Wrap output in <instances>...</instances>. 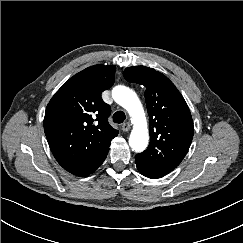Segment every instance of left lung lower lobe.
<instances>
[{
	"instance_id": "1",
	"label": "left lung lower lobe",
	"mask_w": 243,
	"mask_h": 243,
	"mask_svg": "<svg viewBox=\"0 0 243 243\" xmlns=\"http://www.w3.org/2000/svg\"><path fill=\"white\" fill-rule=\"evenodd\" d=\"M138 170L144 176H146L148 178H152V179H157V178H161V177L164 176V175H161V174H158V173H155V172H151V171H147V170H143V169H140V168H138Z\"/></svg>"
}]
</instances>
